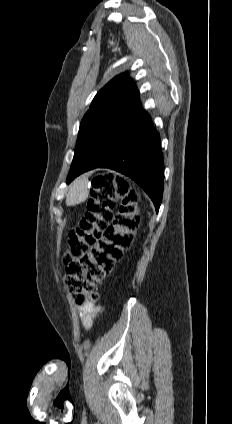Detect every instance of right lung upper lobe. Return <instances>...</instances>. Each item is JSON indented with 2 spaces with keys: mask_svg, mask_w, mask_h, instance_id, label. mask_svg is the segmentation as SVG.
I'll return each instance as SVG.
<instances>
[{
  "mask_svg": "<svg viewBox=\"0 0 232 424\" xmlns=\"http://www.w3.org/2000/svg\"><path fill=\"white\" fill-rule=\"evenodd\" d=\"M139 105L137 87L128 75L121 74L112 79L96 94L89 110L113 106L134 109Z\"/></svg>",
  "mask_w": 232,
  "mask_h": 424,
  "instance_id": "1",
  "label": "right lung upper lobe"
}]
</instances>
